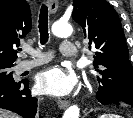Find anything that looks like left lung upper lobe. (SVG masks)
<instances>
[{"label": "left lung upper lobe", "instance_id": "1", "mask_svg": "<svg viewBox=\"0 0 133 118\" xmlns=\"http://www.w3.org/2000/svg\"><path fill=\"white\" fill-rule=\"evenodd\" d=\"M73 6V20L83 28L89 49H96L93 65L102 84L96 98L133 107V67L116 11L106 0H74Z\"/></svg>", "mask_w": 133, "mask_h": 118}]
</instances>
